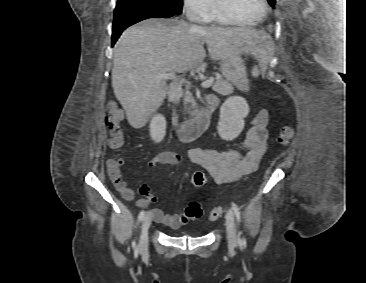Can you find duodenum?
I'll return each mask as SVG.
<instances>
[{
  "mask_svg": "<svg viewBox=\"0 0 366 283\" xmlns=\"http://www.w3.org/2000/svg\"><path fill=\"white\" fill-rule=\"evenodd\" d=\"M215 107V100H213L211 97H208L198 115L191 120L181 124L179 130L180 138L194 139L201 135L208 128L211 119V113Z\"/></svg>",
  "mask_w": 366,
  "mask_h": 283,
  "instance_id": "410a0bca",
  "label": "duodenum"
}]
</instances>
